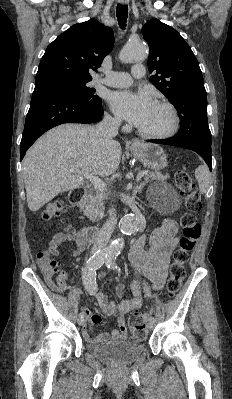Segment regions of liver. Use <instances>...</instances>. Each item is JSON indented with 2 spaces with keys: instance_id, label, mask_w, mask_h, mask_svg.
<instances>
[{
  "instance_id": "6515ba94",
  "label": "liver",
  "mask_w": 232,
  "mask_h": 399,
  "mask_svg": "<svg viewBox=\"0 0 232 399\" xmlns=\"http://www.w3.org/2000/svg\"><path fill=\"white\" fill-rule=\"evenodd\" d=\"M122 156L118 142H104L97 126L63 124L41 136L22 162L27 203L37 211L60 192L84 186L86 176H111ZM70 170H80L71 174Z\"/></svg>"
}]
</instances>
